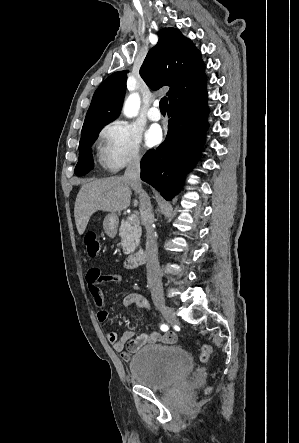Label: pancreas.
<instances>
[{
  "instance_id": "cf45deb5",
  "label": "pancreas",
  "mask_w": 299,
  "mask_h": 443,
  "mask_svg": "<svg viewBox=\"0 0 299 443\" xmlns=\"http://www.w3.org/2000/svg\"><path fill=\"white\" fill-rule=\"evenodd\" d=\"M119 236L121 237V246L125 254L134 252L140 243L141 227L138 218L134 221L127 219L122 221Z\"/></svg>"
}]
</instances>
